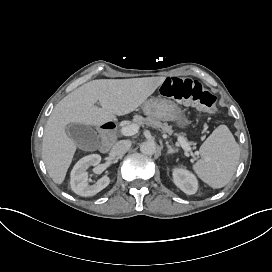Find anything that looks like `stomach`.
I'll return each mask as SVG.
<instances>
[{
	"instance_id": "obj_1",
	"label": "stomach",
	"mask_w": 272,
	"mask_h": 272,
	"mask_svg": "<svg viewBox=\"0 0 272 272\" xmlns=\"http://www.w3.org/2000/svg\"><path fill=\"white\" fill-rule=\"evenodd\" d=\"M142 109L148 117L173 122L177 128L185 129L190 125L184 109L173 100L152 97L142 104Z\"/></svg>"
}]
</instances>
